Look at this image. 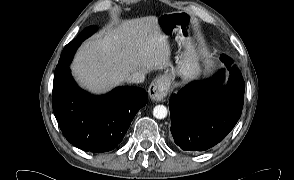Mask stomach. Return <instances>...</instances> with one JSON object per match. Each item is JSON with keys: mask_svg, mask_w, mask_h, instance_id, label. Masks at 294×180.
Returning a JSON list of instances; mask_svg holds the SVG:
<instances>
[{"mask_svg": "<svg viewBox=\"0 0 294 180\" xmlns=\"http://www.w3.org/2000/svg\"><path fill=\"white\" fill-rule=\"evenodd\" d=\"M157 24L161 32L167 36L176 34L177 40L182 44L184 52L177 59V66L169 74L170 79L176 75L185 82L196 79L201 73L199 56L192 40L193 19L183 11L163 13L158 17Z\"/></svg>", "mask_w": 294, "mask_h": 180, "instance_id": "stomach-1", "label": "stomach"}]
</instances>
